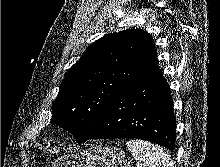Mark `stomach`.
<instances>
[{
	"label": "stomach",
	"mask_w": 220,
	"mask_h": 167,
	"mask_svg": "<svg viewBox=\"0 0 220 167\" xmlns=\"http://www.w3.org/2000/svg\"><path fill=\"white\" fill-rule=\"evenodd\" d=\"M53 167H128L125 153L117 147L95 146L59 158Z\"/></svg>",
	"instance_id": "1"
}]
</instances>
